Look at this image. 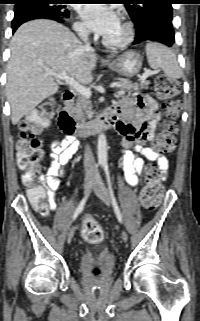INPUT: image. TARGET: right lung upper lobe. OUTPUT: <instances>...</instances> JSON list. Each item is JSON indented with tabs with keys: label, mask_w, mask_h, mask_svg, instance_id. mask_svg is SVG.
Wrapping results in <instances>:
<instances>
[{
	"label": "right lung upper lobe",
	"mask_w": 200,
	"mask_h": 321,
	"mask_svg": "<svg viewBox=\"0 0 200 321\" xmlns=\"http://www.w3.org/2000/svg\"><path fill=\"white\" fill-rule=\"evenodd\" d=\"M17 1L21 2V1H24V0H17Z\"/></svg>",
	"instance_id": "cb5924a9"
}]
</instances>
